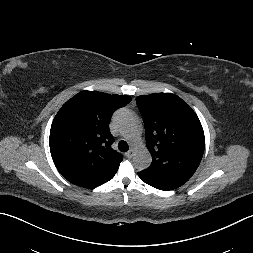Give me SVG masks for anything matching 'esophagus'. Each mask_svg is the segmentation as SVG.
<instances>
[{
    "mask_svg": "<svg viewBox=\"0 0 253 253\" xmlns=\"http://www.w3.org/2000/svg\"><path fill=\"white\" fill-rule=\"evenodd\" d=\"M133 156V149L129 150L127 153H126V157L127 158H131Z\"/></svg>",
    "mask_w": 253,
    "mask_h": 253,
    "instance_id": "1",
    "label": "esophagus"
}]
</instances>
